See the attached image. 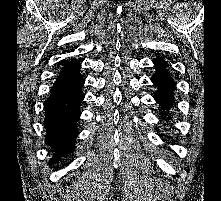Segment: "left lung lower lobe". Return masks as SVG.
Returning a JSON list of instances; mask_svg holds the SVG:
<instances>
[{"instance_id":"0a47b994","label":"left lung lower lobe","mask_w":221,"mask_h":201,"mask_svg":"<svg viewBox=\"0 0 221 201\" xmlns=\"http://www.w3.org/2000/svg\"><path fill=\"white\" fill-rule=\"evenodd\" d=\"M156 68V72L151 77V81L157 86L158 90L154 95V98L158 104L161 105L164 113L162 115L167 116L166 111L170 110L173 105V88L174 81L171 78L166 61L158 57L153 60Z\"/></svg>"}]
</instances>
